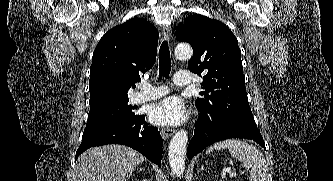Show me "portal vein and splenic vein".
<instances>
[{
  "instance_id": "portal-vein-and-splenic-vein-1",
  "label": "portal vein and splenic vein",
  "mask_w": 333,
  "mask_h": 181,
  "mask_svg": "<svg viewBox=\"0 0 333 181\" xmlns=\"http://www.w3.org/2000/svg\"><path fill=\"white\" fill-rule=\"evenodd\" d=\"M236 176V172H232V173H230V178H233V177H235Z\"/></svg>"
}]
</instances>
